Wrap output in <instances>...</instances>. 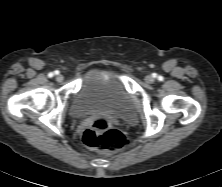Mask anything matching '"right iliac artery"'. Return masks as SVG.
Segmentation results:
<instances>
[{"instance_id": "obj_1", "label": "right iliac artery", "mask_w": 222, "mask_h": 187, "mask_svg": "<svg viewBox=\"0 0 222 187\" xmlns=\"http://www.w3.org/2000/svg\"><path fill=\"white\" fill-rule=\"evenodd\" d=\"M58 73H59L58 71H55V74H58ZM53 75H54V73H49L48 77L51 78V77H53Z\"/></svg>"}]
</instances>
